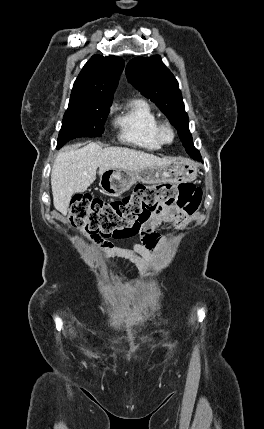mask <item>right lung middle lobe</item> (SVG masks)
<instances>
[{"label": "right lung middle lobe", "instance_id": "right-lung-middle-lobe-1", "mask_svg": "<svg viewBox=\"0 0 264 429\" xmlns=\"http://www.w3.org/2000/svg\"><path fill=\"white\" fill-rule=\"evenodd\" d=\"M111 103L109 100L70 98L59 132L57 148L77 137H100Z\"/></svg>", "mask_w": 264, "mask_h": 429}]
</instances>
